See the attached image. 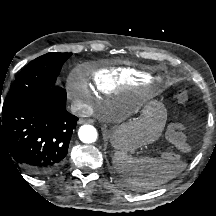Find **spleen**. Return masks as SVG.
I'll use <instances>...</instances> for the list:
<instances>
[{"label": "spleen", "instance_id": "obj_1", "mask_svg": "<svg viewBox=\"0 0 216 216\" xmlns=\"http://www.w3.org/2000/svg\"><path fill=\"white\" fill-rule=\"evenodd\" d=\"M113 164L124 182L138 189L151 190L177 176L182 168L177 162L157 158H133L123 151H116Z\"/></svg>", "mask_w": 216, "mask_h": 216}]
</instances>
